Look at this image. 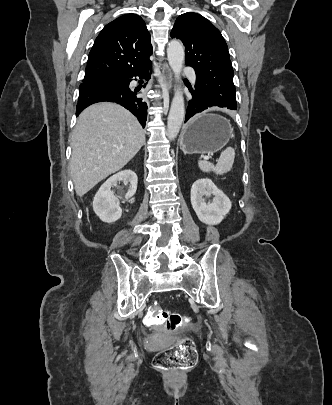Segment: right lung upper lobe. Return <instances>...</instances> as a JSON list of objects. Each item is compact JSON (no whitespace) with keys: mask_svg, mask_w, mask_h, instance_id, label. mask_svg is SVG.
Segmentation results:
<instances>
[{"mask_svg":"<svg viewBox=\"0 0 332 405\" xmlns=\"http://www.w3.org/2000/svg\"><path fill=\"white\" fill-rule=\"evenodd\" d=\"M152 54L150 34L144 20L126 14L107 24L89 53L85 80L118 76L149 64Z\"/></svg>","mask_w":332,"mask_h":405,"instance_id":"1","label":"right lung upper lobe"}]
</instances>
